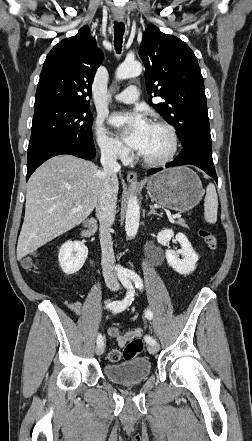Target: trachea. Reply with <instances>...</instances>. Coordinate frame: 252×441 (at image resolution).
Instances as JSON below:
<instances>
[{"mask_svg": "<svg viewBox=\"0 0 252 441\" xmlns=\"http://www.w3.org/2000/svg\"><path fill=\"white\" fill-rule=\"evenodd\" d=\"M125 32V25L123 23H114V46L116 52L119 54L122 49L123 35Z\"/></svg>", "mask_w": 252, "mask_h": 441, "instance_id": "3493384b", "label": "trachea"}]
</instances>
